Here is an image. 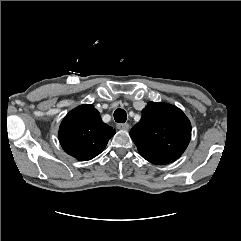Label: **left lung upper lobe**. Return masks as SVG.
Returning a JSON list of instances; mask_svg holds the SVG:
<instances>
[{
    "instance_id": "1",
    "label": "left lung upper lobe",
    "mask_w": 241,
    "mask_h": 241,
    "mask_svg": "<svg viewBox=\"0 0 241 241\" xmlns=\"http://www.w3.org/2000/svg\"><path fill=\"white\" fill-rule=\"evenodd\" d=\"M130 136L141 155L177 159L189 144L191 124L176 106L149 102Z\"/></svg>"
}]
</instances>
